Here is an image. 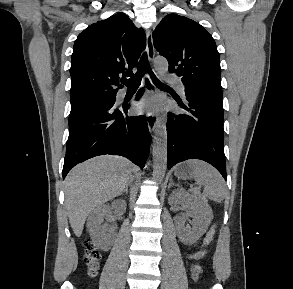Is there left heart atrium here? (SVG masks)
Listing matches in <instances>:
<instances>
[{"label":"left heart atrium","mask_w":293,"mask_h":289,"mask_svg":"<svg viewBox=\"0 0 293 289\" xmlns=\"http://www.w3.org/2000/svg\"><path fill=\"white\" fill-rule=\"evenodd\" d=\"M159 103L157 99L155 98H150L142 101L140 104H138V110L140 112L144 113H153L158 109Z\"/></svg>","instance_id":"left-heart-atrium-1"}]
</instances>
